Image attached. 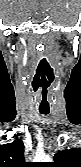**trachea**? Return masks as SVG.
Masks as SVG:
<instances>
[{"mask_svg": "<svg viewBox=\"0 0 81 167\" xmlns=\"http://www.w3.org/2000/svg\"><path fill=\"white\" fill-rule=\"evenodd\" d=\"M40 113L43 115H47L49 113V111H40Z\"/></svg>", "mask_w": 81, "mask_h": 167, "instance_id": "obj_1", "label": "trachea"}]
</instances>
